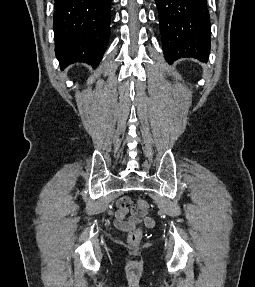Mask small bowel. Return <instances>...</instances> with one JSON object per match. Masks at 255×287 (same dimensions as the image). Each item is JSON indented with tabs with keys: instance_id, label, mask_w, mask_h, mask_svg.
I'll list each match as a JSON object with an SVG mask.
<instances>
[{
	"instance_id": "c3829d8e",
	"label": "small bowel",
	"mask_w": 255,
	"mask_h": 287,
	"mask_svg": "<svg viewBox=\"0 0 255 287\" xmlns=\"http://www.w3.org/2000/svg\"><path fill=\"white\" fill-rule=\"evenodd\" d=\"M117 210L114 218V227L120 231L130 232L137 229L138 224L143 223L147 228H153L154 219L147 211H142L132 205L129 197H121L116 203Z\"/></svg>"
}]
</instances>
